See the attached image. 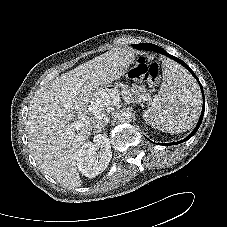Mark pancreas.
I'll list each match as a JSON object with an SVG mask.
<instances>
[{"label": "pancreas", "mask_w": 227, "mask_h": 227, "mask_svg": "<svg viewBox=\"0 0 227 227\" xmlns=\"http://www.w3.org/2000/svg\"><path fill=\"white\" fill-rule=\"evenodd\" d=\"M123 92H125V94L127 95H131V101L133 102H137L139 99H142L144 97H147L148 94L146 93L145 89L143 87L137 86V85H133L131 87V89H128L127 87H125L123 89Z\"/></svg>", "instance_id": "obj_1"}]
</instances>
